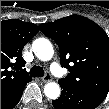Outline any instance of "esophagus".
Wrapping results in <instances>:
<instances>
[{
  "label": "esophagus",
  "instance_id": "1",
  "mask_svg": "<svg viewBox=\"0 0 109 109\" xmlns=\"http://www.w3.org/2000/svg\"><path fill=\"white\" fill-rule=\"evenodd\" d=\"M41 79H42V82L46 83L52 80V76L50 72H46V74Z\"/></svg>",
  "mask_w": 109,
  "mask_h": 109
}]
</instances>
